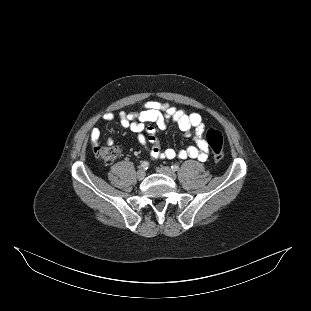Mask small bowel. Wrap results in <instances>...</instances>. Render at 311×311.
Segmentation results:
<instances>
[{"mask_svg": "<svg viewBox=\"0 0 311 311\" xmlns=\"http://www.w3.org/2000/svg\"><path fill=\"white\" fill-rule=\"evenodd\" d=\"M103 120L111 121L114 115L111 112L103 115ZM120 122L123 127L130 129L136 134L139 144L146 149L153 159H199L205 161L208 158L209 147L203 138L204 123L200 114L188 113L168 103L148 101L137 113H120ZM174 123L187 137H193L195 144L184 149L173 148L161 149L156 136L155 124L160 130H164L168 124ZM101 136L100 129L92 128L90 132L91 144L96 147Z\"/></svg>", "mask_w": 311, "mask_h": 311, "instance_id": "c3829d8e", "label": "small bowel"}]
</instances>
